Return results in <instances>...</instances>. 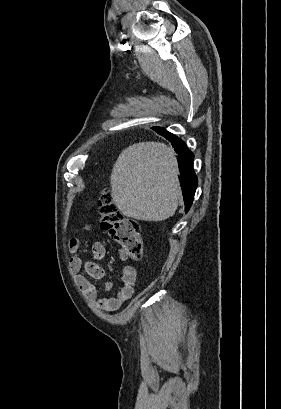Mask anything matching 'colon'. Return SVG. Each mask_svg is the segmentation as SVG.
Returning <instances> with one entry per match:
<instances>
[{
	"mask_svg": "<svg viewBox=\"0 0 281 409\" xmlns=\"http://www.w3.org/2000/svg\"><path fill=\"white\" fill-rule=\"evenodd\" d=\"M98 206L101 229L114 238L126 257L140 260L143 256L140 225L132 217L124 215L109 194L100 198Z\"/></svg>",
	"mask_w": 281,
	"mask_h": 409,
	"instance_id": "colon-1",
	"label": "colon"
}]
</instances>
